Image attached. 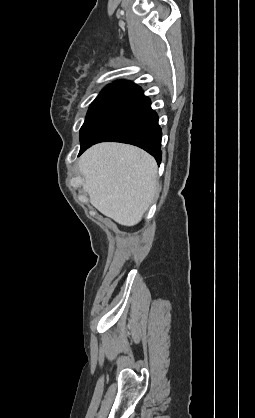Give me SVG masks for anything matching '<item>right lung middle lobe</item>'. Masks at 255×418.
Instances as JSON below:
<instances>
[{
    "mask_svg": "<svg viewBox=\"0 0 255 418\" xmlns=\"http://www.w3.org/2000/svg\"><path fill=\"white\" fill-rule=\"evenodd\" d=\"M123 89L124 88L122 87L108 85L101 91V93L90 105L85 122L80 129V138L84 134L85 130L87 129L88 125L95 117V115L104 107V105H106L115 95L120 93Z\"/></svg>",
    "mask_w": 255,
    "mask_h": 418,
    "instance_id": "obj_1",
    "label": "right lung middle lobe"
}]
</instances>
